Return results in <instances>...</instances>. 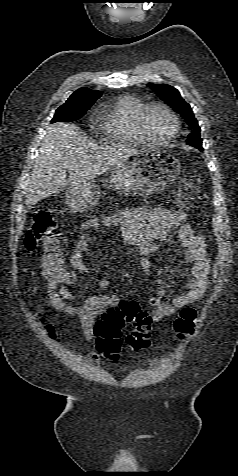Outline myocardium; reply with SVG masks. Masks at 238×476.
<instances>
[{
    "instance_id": "obj_1",
    "label": "myocardium",
    "mask_w": 238,
    "mask_h": 476,
    "mask_svg": "<svg viewBox=\"0 0 238 476\" xmlns=\"http://www.w3.org/2000/svg\"><path fill=\"white\" fill-rule=\"evenodd\" d=\"M155 107L163 109L169 115V117L172 119V122H173V131L171 135L167 139H164V140H157L153 138L148 133L146 128V124H145L146 115L150 109ZM137 126L143 138L147 142L156 144V145H167L171 143L175 139V137L178 135L179 128H180L179 119L176 113L167 104L160 101H153V102L144 104V106L139 110L137 115Z\"/></svg>"
}]
</instances>
